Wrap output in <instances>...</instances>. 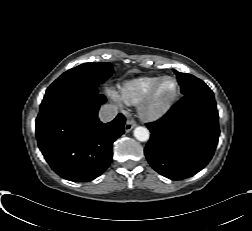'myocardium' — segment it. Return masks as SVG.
Masks as SVG:
<instances>
[{"label": "myocardium", "mask_w": 252, "mask_h": 231, "mask_svg": "<svg viewBox=\"0 0 252 231\" xmlns=\"http://www.w3.org/2000/svg\"><path fill=\"white\" fill-rule=\"evenodd\" d=\"M171 80L174 83V91L171 97L162 105H156L155 99L162 83ZM180 93L178 81L172 76L161 77L150 89L147 95L139 103L138 111L140 116L148 121H154L165 116L174 106Z\"/></svg>", "instance_id": "f54148a6"}]
</instances>
